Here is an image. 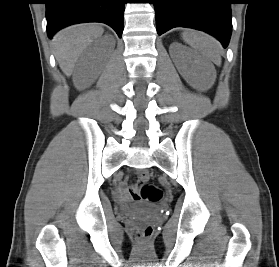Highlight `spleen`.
<instances>
[{"label": "spleen", "instance_id": "1", "mask_svg": "<svg viewBox=\"0 0 279 267\" xmlns=\"http://www.w3.org/2000/svg\"><path fill=\"white\" fill-rule=\"evenodd\" d=\"M183 40L194 49L198 50L207 60L216 65H221L220 44L209 35L196 31L182 33Z\"/></svg>", "mask_w": 279, "mask_h": 267}]
</instances>
